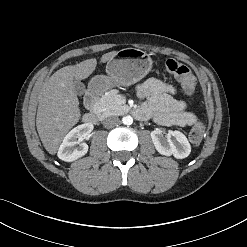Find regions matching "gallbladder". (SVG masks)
<instances>
[{
    "instance_id": "bac80fb5",
    "label": "gallbladder",
    "mask_w": 247,
    "mask_h": 247,
    "mask_svg": "<svg viewBox=\"0 0 247 247\" xmlns=\"http://www.w3.org/2000/svg\"><path fill=\"white\" fill-rule=\"evenodd\" d=\"M85 90V85L80 80H74V91L77 95H83Z\"/></svg>"
}]
</instances>
